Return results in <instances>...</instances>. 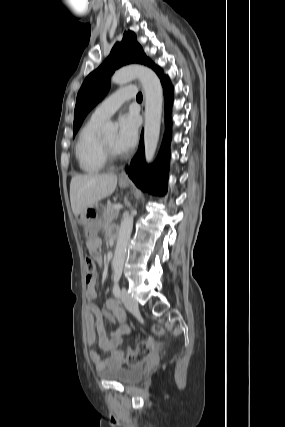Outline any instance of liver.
<instances>
[{
    "mask_svg": "<svg viewBox=\"0 0 285 427\" xmlns=\"http://www.w3.org/2000/svg\"><path fill=\"white\" fill-rule=\"evenodd\" d=\"M117 185L115 174L76 175L70 183L71 208L75 216L111 195Z\"/></svg>",
    "mask_w": 285,
    "mask_h": 427,
    "instance_id": "liver-1",
    "label": "liver"
}]
</instances>
